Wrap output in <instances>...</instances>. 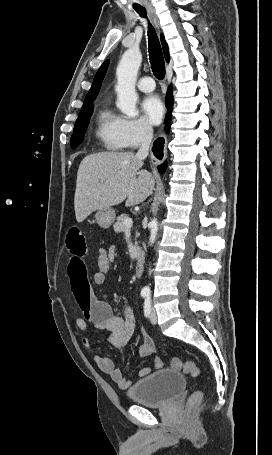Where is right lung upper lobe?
I'll use <instances>...</instances> for the list:
<instances>
[{"label":"right lung upper lobe","mask_w":272,"mask_h":455,"mask_svg":"<svg viewBox=\"0 0 272 455\" xmlns=\"http://www.w3.org/2000/svg\"><path fill=\"white\" fill-rule=\"evenodd\" d=\"M161 43H162L165 59H166L167 62H169L170 57H169L168 45H167L163 35H161ZM108 64H109V61L107 60L99 68L98 72L96 73V75L94 77L92 86H91V88H90V90H89V92H88V94H87V96L85 98L84 103L94 101L95 98L97 97V95L99 93V90H100V87H101L102 80H103V78H104V76L106 74V71H107V68H108Z\"/></svg>","instance_id":"1"}]
</instances>
